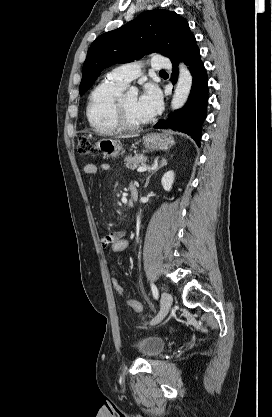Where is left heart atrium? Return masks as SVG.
I'll return each instance as SVG.
<instances>
[{"instance_id":"left-heart-atrium-1","label":"left heart atrium","mask_w":272,"mask_h":417,"mask_svg":"<svg viewBox=\"0 0 272 417\" xmlns=\"http://www.w3.org/2000/svg\"><path fill=\"white\" fill-rule=\"evenodd\" d=\"M138 110L149 120L162 108V95L157 86L147 84L138 98Z\"/></svg>"}]
</instances>
